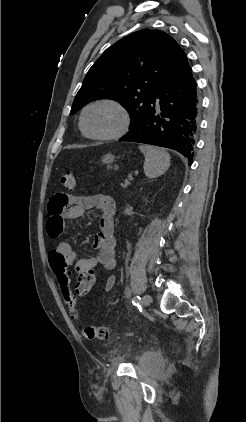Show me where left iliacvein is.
Returning <instances> with one entry per match:
<instances>
[{
	"instance_id": "obj_1",
	"label": "left iliac vein",
	"mask_w": 246,
	"mask_h": 422,
	"mask_svg": "<svg viewBox=\"0 0 246 422\" xmlns=\"http://www.w3.org/2000/svg\"><path fill=\"white\" fill-rule=\"evenodd\" d=\"M142 303L145 306H149L152 303V297L149 294H146L142 298Z\"/></svg>"
}]
</instances>
